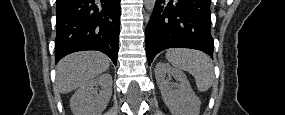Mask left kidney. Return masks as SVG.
Listing matches in <instances>:
<instances>
[{
    "mask_svg": "<svg viewBox=\"0 0 285 115\" xmlns=\"http://www.w3.org/2000/svg\"><path fill=\"white\" fill-rule=\"evenodd\" d=\"M155 76L162 98L173 115H198L201 101L193 92L184 72L171 67L168 63L158 62ZM173 76L179 83L172 84Z\"/></svg>",
    "mask_w": 285,
    "mask_h": 115,
    "instance_id": "5707ae66",
    "label": "left kidney"
}]
</instances>
